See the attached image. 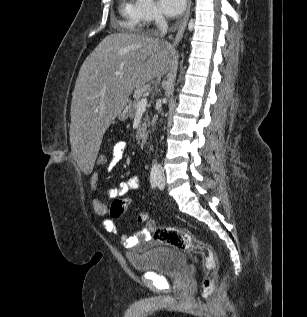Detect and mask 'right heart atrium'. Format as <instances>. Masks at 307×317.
Returning <instances> with one entry per match:
<instances>
[{
	"label": "right heart atrium",
	"mask_w": 307,
	"mask_h": 317,
	"mask_svg": "<svg viewBox=\"0 0 307 317\" xmlns=\"http://www.w3.org/2000/svg\"><path fill=\"white\" fill-rule=\"evenodd\" d=\"M137 14L145 24L159 23L163 20L153 0H137Z\"/></svg>",
	"instance_id": "1"
}]
</instances>
